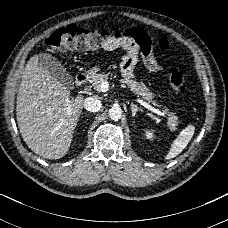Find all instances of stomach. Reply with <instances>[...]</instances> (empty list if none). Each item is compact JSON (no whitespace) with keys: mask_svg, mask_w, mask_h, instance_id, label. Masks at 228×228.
Returning a JSON list of instances; mask_svg holds the SVG:
<instances>
[{"mask_svg":"<svg viewBox=\"0 0 228 228\" xmlns=\"http://www.w3.org/2000/svg\"><path fill=\"white\" fill-rule=\"evenodd\" d=\"M86 73H87V75H92L93 70L90 69V70H88Z\"/></svg>","mask_w":228,"mask_h":228,"instance_id":"1","label":"stomach"}]
</instances>
